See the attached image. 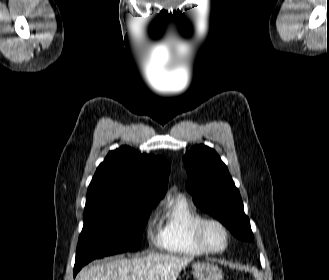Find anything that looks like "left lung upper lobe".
Masks as SVG:
<instances>
[{"mask_svg":"<svg viewBox=\"0 0 329 280\" xmlns=\"http://www.w3.org/2000/svg\"><path fill=\"white\" fill-rule=\"evenodd\" d=\"M184 167L189 176L186 188L195 205L211 213L235 237L253 240L240 193L218 154L205 145H196L184 156Z\"/></svg>","mask_w":329,"mask_h":280,"instance_id":"left-lung-upper-lobe-1","label":"left lung upper lobe"}]
</instances>
